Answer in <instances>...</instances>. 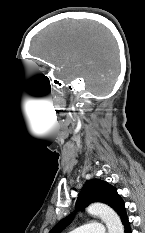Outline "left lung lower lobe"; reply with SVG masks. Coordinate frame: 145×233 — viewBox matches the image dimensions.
I'll use <instances>...</instances> for the list:
<instances>
[{
	"label": "left lung lower lobe",
	"instance_id": "1",
	"mask_svg": "<svg viewBox=\"0 0 145 233\" xmlns=\"http://www.w3.org/2000/svg\"><path fill=\"white\" fill-rule=\"evenodd\" d=\"M123 225H124V232H125V233H132V232H131V228H130V223H129L128 220L125 221V223H124Z\"/></svg>",
	"mask_w": 145,
	"mask_h": 233
}]
</instances>
